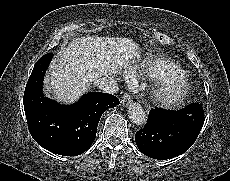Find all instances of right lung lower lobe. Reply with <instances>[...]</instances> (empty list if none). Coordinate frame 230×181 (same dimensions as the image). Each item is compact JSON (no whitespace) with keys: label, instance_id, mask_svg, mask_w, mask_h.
<instances>
[{"label":"right lung lower lobe","instance_id":"obj_1","mask_svg":"<svg viewBox=\"0 0 230 181\" xmlns=\"http://www.w3.org/2000/svg\"><path fill=\"white\" fill-rule=\"evenodd\" d=\"M53 57L48 53L35 64L24 92V111L29 131L43 148L64 156L87 151L96 137L103 112L119 104L111 94L89 92L77 103L65 106L45 98L42 84Z\"/></svg>","mask_w":230,"mask_h":181}]
</instances>
